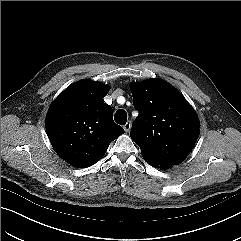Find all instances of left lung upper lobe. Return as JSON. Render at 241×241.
<instances>
[{"instance_id": "1", "label": "left lung upper lobe", "mask_w": 241, "mask_h": 241, "mask_svg": "<svg viewBox=\"0 0 241 241\" xmlns=\"http://www.w3.org/2000/svg\"><path fill=\"white\" fill-rule=\"evenodd\" d=\"M139 112L131 138L143 157L177 165L194 147L200 131L196 112L172 85L160 79L131 84Z\"/></svg>"}]
</instances>
